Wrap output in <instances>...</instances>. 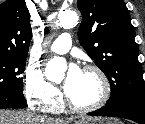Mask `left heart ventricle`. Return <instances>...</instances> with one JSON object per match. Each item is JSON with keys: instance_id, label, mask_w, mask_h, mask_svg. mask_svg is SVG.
<instances>
[{"instance_id": "obj_1", "label": "left heart ventricle", "mask_w": 145, "mask_h": 124, "mask_svg": "<svg viewBox=\"0 0 145 124\" xmlns=\"http://www.w3.org/2000/svg\"><path fill=\"white\" fill-rule=\"evenodd\" d=\"M67 75L62 76L65 82ZM101 83L98 76L91 72L80 71L78 78L66 94L76 105L85 106L96 102L101 96Z\"/></svg>"}]
</instances>
